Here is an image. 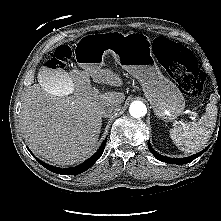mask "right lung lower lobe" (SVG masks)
<instances>
[{"label":"right lung lower lobe","instance_id":"right-lung-lower-lobe-1","mask_svg":"<svg viewBox=\"0 0 221 221\" xmlns=\"http://www.w3.org/2000/svg\"><path fill=\"white\" fill-rule=\"evenodd\" d=\"M105 144H106V139L103 141L102 145L100 146L98 151L93 156H91L89 159L84 161L82 164L75 166V167L59 168V167H54L52 165H48L37 158H36V160L42 166H44L46 169H48L54 173L63 174V175H76V174H80V173L86 171L87 169H89L102 156L104 148H105ZM27 149L29 150V148H27ZM29 152H31V151L29 150Z\"/></svg>","mask_w":221,"mask_h":221}]
</instances>
